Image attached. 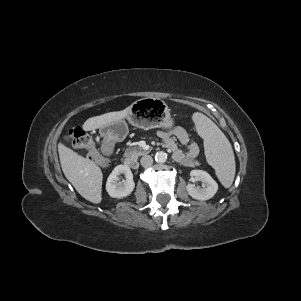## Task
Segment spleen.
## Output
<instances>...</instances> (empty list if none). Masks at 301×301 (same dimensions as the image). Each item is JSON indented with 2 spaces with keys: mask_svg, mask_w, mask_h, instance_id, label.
<instances>
[{
  "mask_svg": "<svg viewBox=\"0 0 301 301\" xmlns=\"http://www.w3.org/2000/svg\"><path fill=\"white\" fill-rule=\"evenodd\" d=\"M192 119L196 129L205 141L208 163L225 188H229L235 176V158L232 146L217 125L202 113L196 112Z\"/></svg>",
  "mask_w": 301,
  "mask_h": 301,
  "instance_id": "1",
  "label": "spleen"
}]
</instances>
